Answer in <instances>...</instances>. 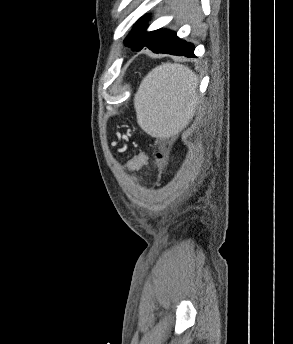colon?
Listing matches in <instances>:
<instances>
[{
  "instance_id": "colon-1",
  "label": "colon",
  "mask_w": 293,
  "mask_h": 344,
  "mask_svg": "<svg viewBox=\"0 0 293 344\" xmlns=\"http://www.w3.org/2000/svg\"><path fill=\"white\" fill-rule=\"evenodd\" d=\"M155 160L160 167H163L167 160L166 153L164 151H158L155 155Z\"/></svg>"
}]
</instances>
